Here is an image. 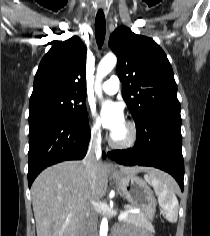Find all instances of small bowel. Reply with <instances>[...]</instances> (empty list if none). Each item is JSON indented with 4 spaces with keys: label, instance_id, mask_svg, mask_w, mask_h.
Instances as JSON below:
<instances>
[{
    "label": "small bowel",
    "instance_id": "obj_1",
    "mask_svg": "<svg viewBox=\"0 0 210 236\" xmlns=\"http://www.w3.org/2000/svg\"><path fill=\"white\" fill-rule=\"evenodd\" d=\"M116 236H152L147 232H132L131 230L117 231Z\"/></svg>",
    "mask_w": 210,
    "mask_h": 236
}]
</instances>
